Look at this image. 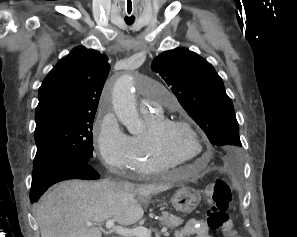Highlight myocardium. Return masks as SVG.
<instances>
[{"instance_id":"1","label":"myocardium","mask_w":297,"mask_h":237,"mask_svg":"<svg viewBox=\"0 0 297 237\" xmlns=\"http://www.w3.org/2000/svg\"><path fill=\"white\" fill-rule=\"evenodd\" d=\"M174 127H183L187 131H189L194 138L197 140L200 150L197 154L196 158H179L174 154L170 153L163 145L162 136L163 133L169 129ZM147 140L153 150V152L163 161L169 162L175 165H184L187 163H191L197 161V159L203 154L205 150V144L195 130V128L187 121L183 119H174V118H160L154 124H152L146 133Z\"/></svg>"}]
</instances>
